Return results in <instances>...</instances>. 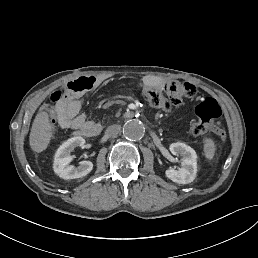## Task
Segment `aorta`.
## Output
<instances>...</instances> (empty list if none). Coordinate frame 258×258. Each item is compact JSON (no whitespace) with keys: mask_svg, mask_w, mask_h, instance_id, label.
<instances>
[{"mask_svg":"<svg viewBox=\"0 0 258 258\" xmlns=\"http://www.w3.org/2000/svg\"><path fill=\"white\" fill-rule=\"evenodd\" d=\"M145 133L144 125L138 119L127 121L123 126V135L132 141L140 140Z\"/></svg>","mask_w":258,"mask_h":258,"instance_id":"aorta-1","label":"aorta"}]
</instances>
